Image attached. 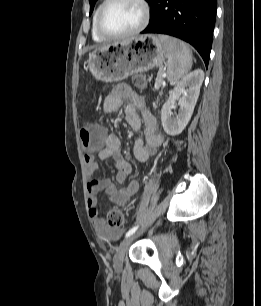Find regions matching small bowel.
<instances>
[{
	"label": "small bowel",
	"instance_id": "1",
	"mask_svg": "<svg viewBox=\"0 0 261 306\" xmlns=\"http://www.w3.org/2000/svg\"><path fill=\"white\" fill-rule=\"evenodd\" d=\"M127 100L130 103L124 107L126 122L136 131L144 127V138H138L135 141L133 155L138 162H146L160 147L163 137L158 132L156 118L144 109L143 98L136 94L128 85L119 84L106 96L103 102V111L106 114L114 113ZM120 149V136L115 132H109L105 138V145L97 153V157L101 160H114L117 169L116 182L123 184L131 173L132 168L121 154ZM84 160L87 173V203L92 223L102 239L117 241L123 234V230L108 226L99 215L97 194L105 192L113 202L126 206L132 196L137 193L139 183L136 180H132L126 186L118 189L109 178H95L94 175L98 170V163L94 154L85 155Z\"/></svg>",
	"mask_w": 261,
	"mask_h": 306
}]
</instances>
